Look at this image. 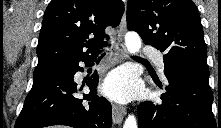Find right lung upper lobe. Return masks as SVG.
<instances>
[{"instance_id": "obj_1", "label": "right lung upper lobe", "mask_w": 221, "mask_h": 128, "mask_svg": "<svg viewBox=\"0 0 221 128\" xmlns=\"http://www.w3.org/2000/svg\"><path fill=\"white\" fill-rule=\"evenodd\" d=\"M123 12L121 0H52L42 21L34 76L94 58L109 39L105 28L118 26Z\"/></svg>"}]
</instances>
